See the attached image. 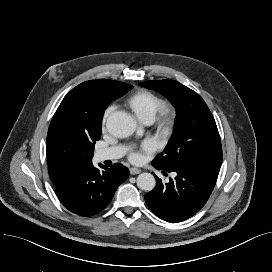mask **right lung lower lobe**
Instances as JSON below:
<instances>
[{
    "label": "right lung lower lobe",
    "mask_w": 272,
    "mask_h": 272,
    "mask_svg": "<svg viewBox=\"0 0 272 272\" xmlns=\"http://www.w3.org/2000/svg\"><path fill=\"white\" fill-rule=\"evenodd\" d=\"M100 166L105 170L99 171L88 163L74 178L56 188L59 200L69 211L85 217L99 213L128 178V169L120 163L111 168Z\"/></svg>",
    "instance_id": "obj_1"
}]
</instances>
